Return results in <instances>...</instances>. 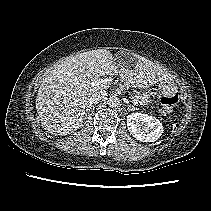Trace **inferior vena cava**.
I'll use <instances>...</instances> for the list:
<instances>
[{
    "mask_svg": "<svg viewBox=\"0 0 211 211\" xmlns=\"http://www.w3.org/2000/svg\"><path fill=\"white\" fill-rule=\"evenodd\" d=\"M106 95H107V92L105 90H101V91L95 92L91 96L88 97L87 102L89 103V105L97 104Z\"/></svg>",
    "mask_w": 211,
    "mask_h": 211,
    "instance_id": "inferior-vena-cava-1",
    "label": "inferior vena cava"
}]
</instances>
